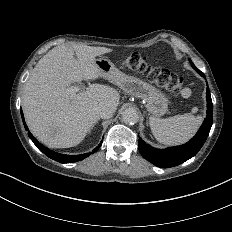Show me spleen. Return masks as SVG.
<instances>
[{
  "label": "spleen",
  "mask_w": 232,
  "mask_h": 232,
  "mask_svg": "<svg viewBox=\"0 0 232 232\" xmlns=\"http://www.w3.org/2000/svg\"><path fill=\"white\" fill-rule=\"evenodd\" d=\"M203 120L202 116L192 113L178 114L169 118L150 116L152 133L164 144H177L187 141L197 131Z\"/></svg>",
  "instance_id": "obj_1"
}]
</instances>
